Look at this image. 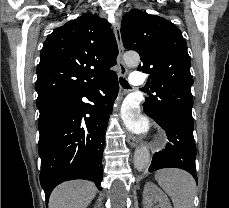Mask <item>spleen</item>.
I'll list each match as a JSON object with an SVG mask.
<instances>
[{
    "instance_id": "3e777b00",
    "label": "spleen",
    "mask_w": 229,
    "mask_h": 208,
    "mask_svg": "<svg viewBox=\"0 0 229 208\" xmlns=\"http://www.w3.org/2000/svg\"><path fill=\"white\" fill-rule=\"evenodd\" d=\"M155 180L170 196L174 208H194L196 184L188 172L176 170V168L159 170L155 174Z\"/></svg>"
}]
</instances>
